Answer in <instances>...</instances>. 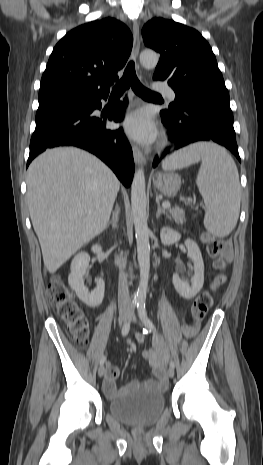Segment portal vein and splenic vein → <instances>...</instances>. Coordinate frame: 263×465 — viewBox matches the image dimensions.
I'll list each match as a JSON object with an SVG mask.
<instances>
[{"label": "portal vein and splenic vein", "instance_id": "portal-vein-and-splenic-vein-1", "mask_svg": "<svg viewBox=\"0 0 263 465\" xmlns=\"http://www.w3.org/2000/svg\"><path fill=\"white\" fill-rule=\"evenodd\" d=\"M162 206H163V208H165V209H169V208L171 207V205H170L169 202H164V203L162 204Z\"/></svg>", "mask_w": 263, "mask_h": 465}]
</instances>
